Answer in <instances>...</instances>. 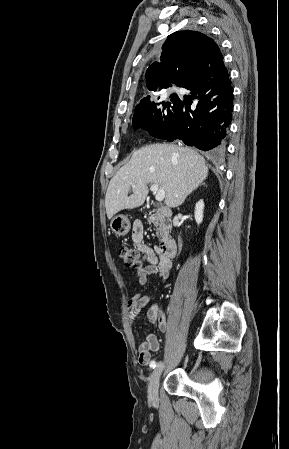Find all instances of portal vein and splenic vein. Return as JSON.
Returning <instances> with one entry per match:
<instances>
[{
    "instance_id": "1",
    "label": "portal vein and splenic vein",
    "mask_w": 289,
    "mask_h": 449,
    "mask_svg": "<svg viewBox=\"0 0 289 449\" xmlns=\"http://www.w3.org/2000/svg\"><path fill=\"white\" fill-rule=\"evenodd\" d=\"M132 187H135V185L132 184ZM150 190L155 194V199L157 201L161 202L164 199L165 191L158 184H152Z\"/></svg>"
}]
</instances>
